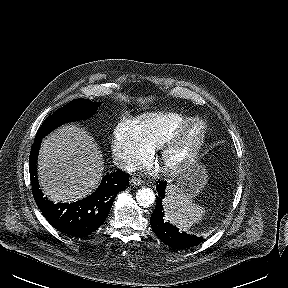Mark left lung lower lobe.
<instances>
[{
  "mask_svg": "<svg viewBox=\"0 0 288 288\" xmlns=\"http://www.w3.org/2000/svg\"><path fill=\"white\" fill-rule=\"evenodd\" d=\"M166 185V182H161L156 186L158 197L155 210L150 217L153 232L164 244L173 249L183 250L198 245L203 241L202 237L180 232L177 227L165 222L162 199L165 197Z\"/></svg>",
  "mask_w": 288,
  "mask_h": 288,
  "instance_id": "obj_1",
  "label": "left lung lower lobe"
}]
</instances>
